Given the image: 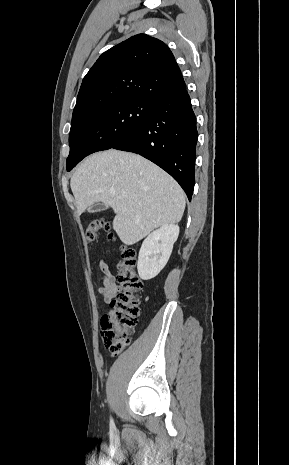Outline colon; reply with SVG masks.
I'll return each instance as SVG.
<instances>
[{
	"label": "colon",
	"mask_w": 289,
	"mask_h": 465,
	"mask_svg": "<svg viewBox=\"0 0 289 465\" xmlns=\"http://www.w3.org/2000/svg\"><path fill=\"white\" fill-rule=\"evenodd\" d=\"M108 229L101 219H93L84 228V239L93 243L99 232ZM112 238L113 235L110 234ZM136 253L132 248L122 249L117 281L121 292L110 302L107 311L101 317V338L104 346L112 355L119 354L131 341L132 333L138 323L139 297L143 284L136 273Z\"/></svg>",
	"instance_id": "5ec220e1"
}]
</instances>
